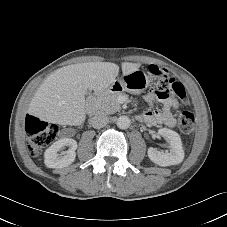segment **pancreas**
I'll use <instances>...</instances> for the list:
<instances>
[{"label": "pancreas", "instance_id": "pancreas-1", "mask_svg": "<svg viewBox=\"0 0 227 227\" xmlns=\"http://www.w3.org/2000/svg\"><path fill=\"white\" fill-rule=\"evenodd\" d=\"M122 93H106L99 99L96 104V111L103 114H113L121 109L120 103L118 102L119 96Z\"/></svg>", "mask_w": 227, "mask_h": 227}]
</instances>
